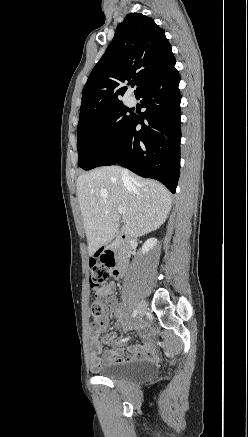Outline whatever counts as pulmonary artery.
<instances>
[{
  "mask_svg": "<svg viewBox=\"0 0 248 437\" xmlns=\"http://www.w3.org/2000/svg\"><path fill=\"white\" fill-rule=\"evenodd\" d=\"M133 103V99L131 98V99H129V104H132Z\"/></svg>",
  "mask_w": 248,
  "mask_h": 437,
  "instance_id": "1",
  "label": "pulmonary artery"
}]
</instances>
